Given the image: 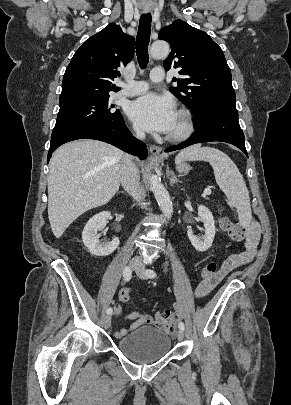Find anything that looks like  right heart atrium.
I'll list each match as a JSON object with an SVG mask.
<instances>
[{
  "mask_svg": "<svg viewBox=\"0 0 291 405\" xmlns=\"http://www.w3.org/2000/svg\"><path fill=\"white\" fill-rule=\"evenodd\" d=\"M133 131L136 136H141V134H142L141 130L137 126L133 127Z\"/></svg>",
  "mask_w": 291,
  "mask_h": 405,
  "instance_id": "1",
  "label": "right heart atrium"
}]
</instances>
